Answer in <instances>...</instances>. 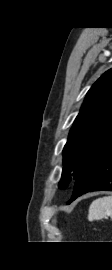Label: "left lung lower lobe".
Masks as SVG:
<instances>
[{"mask_svg":"<svg viewBox=\"0 0 112 270\" xmlns=\"http://www.w3.org/2000/svg\"><path fill=\"white\" fill-rule=\"evenodd\" d=\"M99 190L112 191V148L76 180L68 204L86 192Z\"/></svg>","mask_w":112,"mask_h":270,"instance_id":"left-lung-lower-lobe-1","label":"left lung lower lobe"}]
</instances>
